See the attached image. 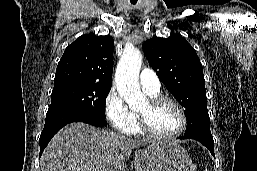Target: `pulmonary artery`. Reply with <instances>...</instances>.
Segmentation results:
<instances>
[{
  "instance_id": "obj_1",
  "label": "pulmonary artery",
  "mask_w": 257,
  "mask_h": 171,
  "mask_svg": "<svg viewBox=\"0 0 257 171\" xmlns=\"http://www.w3.org/2000/svg\"><path fill=\"white\" fill-rule=\"evenodd\" d=\"M142 89L150 93H158L160 91V80L156 72L152 69H143L139 76Z\"/></svg>"
}]
</instances>
